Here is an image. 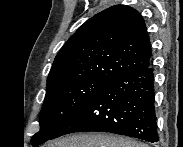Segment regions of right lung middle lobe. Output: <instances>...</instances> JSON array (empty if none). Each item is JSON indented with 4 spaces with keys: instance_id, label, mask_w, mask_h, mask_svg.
<instances>
[{
    "instance_id": "right-lung-middle-lobe-1",
    "label": "right lung middle lobe",
    "mask_w": 183,
    "mask_h": 147,
    "mask_svg": "<svg viewBox=\"0 0 183 147\" xmlns=\"http://www.w3.org/2000/svg\"><path fill=\"white\" fill-rule=\"evenodd\" d=\"M108 83L82 79L48 87L40 115V131L32 137V146L53 139L62 124Z\"/></svg>"
}]
</instances>
